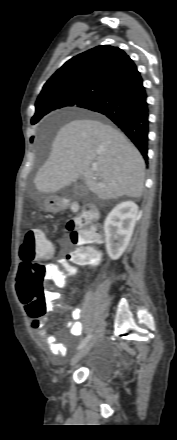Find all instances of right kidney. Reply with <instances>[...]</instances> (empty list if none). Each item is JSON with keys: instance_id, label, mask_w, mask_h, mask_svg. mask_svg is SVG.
<instances>
[{"instance_id": "right-kidney-1", "label": "right kidney", "mask_w": 177, "mask_h": 440, "mask_svg": "<svg viewBox=\"0 0 177 440\" xmlns=\"http://www.w3.org/2000/svg\"><path fill=\"white\" fill-rule=\"evenodd\" d=\"M138 206L132 201L122 202L108 214L104 222L106 250L112 260H117L126 250L135 223Z\"/></svg>"}]
</instances>
